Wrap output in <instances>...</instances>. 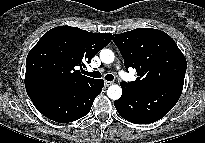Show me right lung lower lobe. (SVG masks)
Returning <instances> with one entry per match:
<instances>
[{
	"instance_id": "obj_1",
	"label": "right lung lower lobe",
	"mask_w": 205,
	"mask_h": 143,
	"mask_svg": "<svg viewBox=\"0 0 205 143\" xmlns=\"http://www.w3.org/2000/svg\"><path fill=\"white\" fill-rule=\"evenodd\" d=\"M103 87L102 79H93L77 86L26 85V91L45 117L55 122L68 123L89 113L94 99Z\"/></svg>"
}]
</instances>
